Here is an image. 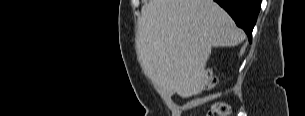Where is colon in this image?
Masks as SVG:
<instances>
[{"mask_svg":"<svg viewBox=\"0 0 305 116\" xmlns=\"http://www.w3.org/2000/svg\"><path fill=\"white\" fill-rule=\"evenodd\" d=\"M204 84L206 89H214L217 85L216 78L207 70L204 75ZM231 113V107L226 103H215L208 110L206 116H228Z\"/></svg>","mask_w":305,"mask_h":116,"instance_id":"colon-1","label":"colon"}]
</instances>
